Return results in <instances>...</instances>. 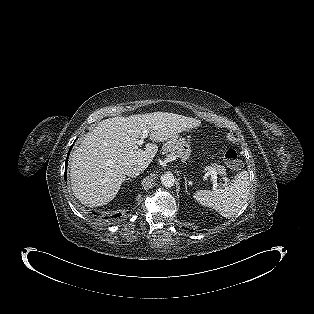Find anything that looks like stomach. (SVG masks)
Returning a JSON list of instances; mask_svg holds the SVG:
<instances>
[{
  "instance_id": "stomach-1",
  "label": "stomach",
  "mask_w": 314,
  "mask_h": 314,
  "mask_svg": "<svg viewBox=\"0 0 314 314\" xmlns=\"http://www.w3.org/2000/svg\"><path fill=\"white\" fill-rule=\"evenodd\" d=\"M166 143L168 144L165 148L167 153L176 154L183 162L189 159L191 153L190 144L182 135L177 134L168 139Z\"/></svg>"
}]
</instances>
